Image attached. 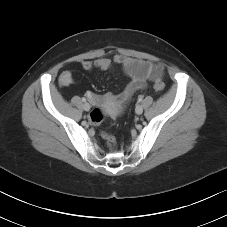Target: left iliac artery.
Returning <instances> with one entry per match:
<instances>
[{
	"mask_svg": "<svg viewBox=\"0 0 227 227\" xmlns=\"http://www.w3.org/2000/svg\"><path fill=\"white\" fill-rule=\"evenodd\" d=\"M142 101V97L140 96L139 98H138V102H141Z\"/></svg>",
	"mask_w": 227,
	"mask_h": 227,
	"instance_id": "left-iliac-artery-1",
	"label": "left iliac artery"
}]
</instances>
